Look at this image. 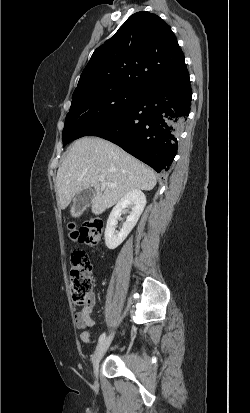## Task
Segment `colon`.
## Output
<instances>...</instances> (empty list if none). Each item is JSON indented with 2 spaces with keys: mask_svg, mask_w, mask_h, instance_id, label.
Here are the masks:
<instances>
[{
  "mask_svg": "<svg viewBox=\"0 0 250 413\" xmlns=\"http://www.w3.org/2000/svg\"><path fill=\"white\" fill-rule=\"evenodd\" d=\"M69 238L74 242L95 247L101 240L103 224L99 219L87 220L80 229L73 223L68 224ZM94 277L91 263L81 250L71 255L70 290L73 302L78 306L88 307L93 302Z\"/></svg>",
  "mask_w": 250,
  "mask_h": 413,
  "instance_id": "obj_1",
  "label": "colon"
}]
</instances>
